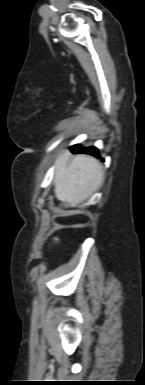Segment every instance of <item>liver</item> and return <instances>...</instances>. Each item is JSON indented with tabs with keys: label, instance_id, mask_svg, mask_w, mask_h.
I'll use <instances>...</instances> for the list:
<instances>
[{
	"label": "liver",
	"instance_id": "liver-1",
	"mask_svg": "<svg viewBox=\"0 0 145 385\" xmlns=\"http://www.w3.org/2000/svg\"><path fill=\"white\" fill-rule=\"evenodd\" d=\"M70 153H62L54 178L56 198L69 207H76L88 199L101 185L104 172L100 162L84 154L77 155L68 165Z\"/></svg>",
	"mask_w": 145,
	"mask_h": 385
}]
</instances>
